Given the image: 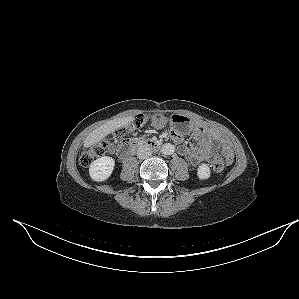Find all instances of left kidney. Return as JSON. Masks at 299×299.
<instances>
[{"mask_svg": "<svg viewBox=\"0 0 299 299\" xmlns=\"http://www.w3.org/2000/svg\"><path fill=\"white\" fill-rule=\"evenodd\" d=\"M211 171L207 164H201L197 169L198 178L201 180H206L210 177Z\"/></svg>", "mask_w": 299, "mask_h": 299, "instance_id": "5707ae66", "label": "left kidney"}]
</instances>
